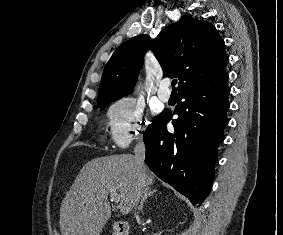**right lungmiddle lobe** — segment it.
<instances>
[{"mask_svg": "<svg viewBox=\"0 0 283 235\" xmlns=\"http://www.w3.org/2000/svg\"><path fill=\"white\" fill-rule=\"evenodd\" d=\"M113 101H105V102H101L98 103V107H100L101 109H103L104 107H106L108 104H110Z\"/></svg>", "mask_w": 283, "mask_h": 235, "instance_id": "obj_1", "label": "right lung middle lobe"}]
</instances>
